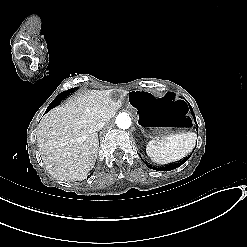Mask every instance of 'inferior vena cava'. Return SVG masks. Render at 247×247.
<instances>
[{"instance_id":"obj_1","label":"inferior vena cava","mask_w":247,"mask_h":247,"mask_svg":"<svg viewBox=\"0 0 247 247\" xmlns=\"http://www.w3.org/2000/svg\"><path fill=\"white\" fill-rule=\"evenodd\" d=\"M105 125V122H98L97 124H96V126H95V130L96 131H99V130H101L102 128H103V126Z\"/></svg>"}]
</instances>
